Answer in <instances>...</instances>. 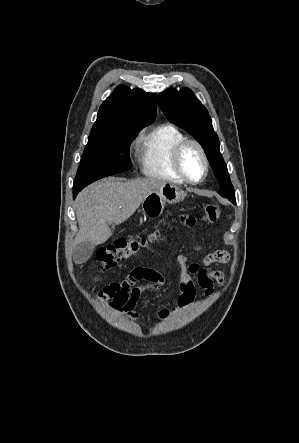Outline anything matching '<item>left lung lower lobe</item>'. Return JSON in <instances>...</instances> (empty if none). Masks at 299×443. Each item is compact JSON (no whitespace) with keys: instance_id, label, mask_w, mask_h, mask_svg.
<instances>
[{"instance_id":"left-lung-lower-lobe-1","label":"left lung lower lobe","mask_w":299,"mask_h":443,"mask_svg":"<svg viewBox=\"0 0 299 443\" xmlns=\"http://www.w3.org/2000/svg\"><path fill=\"white\" fill-rule=\"evenodd\" d=\"M233 203H236V200H233Z\"/></svg>"}]
</instances>
